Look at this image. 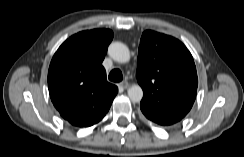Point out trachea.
<instances>
[{"mask_svg":"<svg viewBox=\"0 0 244 157\" xmlns=\"http://www.w3.org/2000/svg\"><path fill=\"white\" fill-rule=\"evenodd\" d=\"M109 80L115 83H118L120 81H122L123 79V75L122 72L119 69H113L110 73H109Z\"/></svg>","mask_w":244,"mask_h":157,"instance_id":"trachea-1","label":"trachea"}]
</instances>
